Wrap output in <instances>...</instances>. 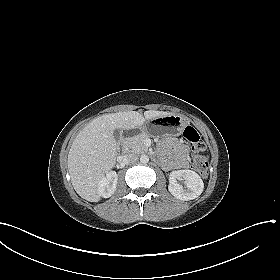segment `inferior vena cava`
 <instances>
[{"mask_svg":"<svg viewBox=\"0 0 280 280\" xmlns=\"http://www.w3.org/2000/svg\"><path fill=\"white\" fill-rule=\"evenodd\" d=\"M138 155L135 153H127L123 156V161L128 164V163H135L138 161Z\"/></svg>","mask_w":280,"mask_h":280,"instance_id":"1","label":"inferior vena cava"}]
</instances>
